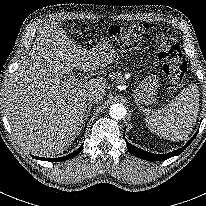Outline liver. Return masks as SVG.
Listing matches in <instances>:
<instances>
[{"label":"liver","mask_w":206,"mask_h":206,"mask_svg":"<svg viewBox=\"0 0 206 206\" xmlns=\"http://www.w3.org/2000/svg\"><path fill=\"white\" fill-rule=\"evenodd\" d=\"M110 63L101 48L87 50L69 39L58 22L44 23L5 92V112L20 145L41 156L68 148L81 130L86 96L102 100L107 81L66 85L62 80L73 69L93 73Z\"/></svg>","instance_id":"1"}]
</instances>
